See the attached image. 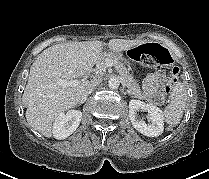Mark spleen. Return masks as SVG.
<instances>
[{"label": "spleen", "instance_id": "obj_1", "mask_svg": "<svg viewBox=\"0 0 209 179\" xmlns=\"http://www.w3.org/2000/svg\"><path fill=\"white\" fill-rule=\"evenodd\" d=\"M187 97L185 84L178 82L170 94V103L163 111L166 123L172 126L179 124L185 110Z\"/></svg>", "mask_w": 209, "mask_h": 179}]
</instances>
